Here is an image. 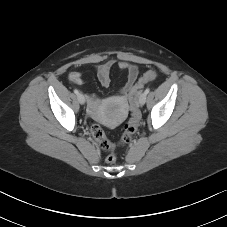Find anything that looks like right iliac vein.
Returning <instances> with one entry per match:
<instances>
[{"label":"right iliac vein","mask_w":227,"mask_h":227,"mask_svg":"<svg viewBox=\"0 0 227 227\" xmlns=\"http://www.w3.org/2000/svg\"><path fill=\"white\" fill-rule=\"evenodd\" d=\"M77 99H78L80 104H84L85 103V96L82 93L78 94Z\"/></svg>","instance_id":"right-iliac-vein-1"}]
</instances>
